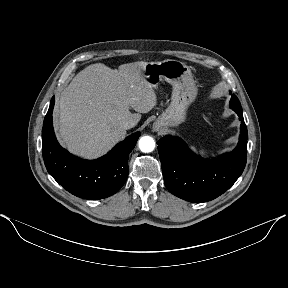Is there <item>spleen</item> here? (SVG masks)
I'll list each match as a JSON object with an SVG mask.
<instances>
[{
    "instance_id": "spleen-1",
    "label": "spleen",
    "mask_w": 288,
    "mask_h": 288,
    "mask_svg": "<svg viewBox=\"0 0 288 288\" xmlns=\"http://www.w3.org/2000/svg\"><path fill=\"white\" fill-rule=\"evenodd\" d=\"M191 149H192L193 151H196V149H195L194 147H191ZM200 154L203 155V156H205V155L207 154V151H206L205 149H201V150H200Z\"/></svg>"
}]
</instances>
